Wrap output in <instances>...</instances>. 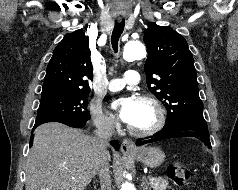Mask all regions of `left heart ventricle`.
<instances>
[{"instance_id": "left-heart-ventricle-1", "label": "left heart ventricle", "mask_w": 238, "mask_h": 190, "mask_svg": "<svg viewBox=\"0 0 238 190\" xmlns=\"http://www.w3.org/2000/svg\"><path fill=\"white\" fill-rule=\"evenodd\" d=\"M155 114L150 105L137 100V107L132 121L129 123L134 128L145 129L153 124Z\"/></svg>"}]
</instances>
